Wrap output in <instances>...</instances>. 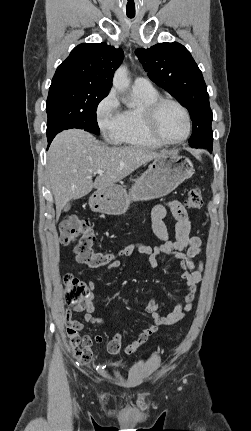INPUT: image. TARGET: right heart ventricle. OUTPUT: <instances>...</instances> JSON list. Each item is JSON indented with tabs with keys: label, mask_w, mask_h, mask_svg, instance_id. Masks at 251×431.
Returning <instances> with one entry per match:
<instances>
[{
	"label": "right heart ventricle",
	"mask_w": 251,
	"mask_h": 431,
	"mask_svg": "<svg viewBox=\"0 0 251 431\" xmlns=\"http://www.w3.org/2000/svg\"><path fill=\"white\" fill-rule=\"evenodd\" d=\"M134 93L141 100V105L123 111L121 127L114 139L118 143L134 147L159 148L161 144L149 135L143 117L144 107L157 99L159 94L155 89L150 91L134 90Z\"/></svg>",
	"instance_id": "right-heart-ventricle-1"
}]
</instances>
